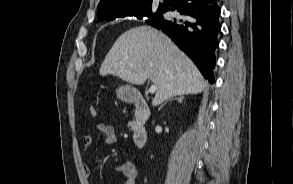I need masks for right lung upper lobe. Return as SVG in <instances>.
Segmentation results:
<instances>
[{
	"label": "right lung upper lobe",
	"instance_id": "1",
	"mask_svg": "<svg viewBox=\"0 0 293 184\" xmlns=\"http://www.w3.org/2000/svg\"><path fill=\"white\" fill-rule=\"evenodd\" d=\"M153 0H101L98 5V18L114 20L121 17H131L142 11L151 10ZM170 0H163L158 9L165 11Z\"/></svg>",
	"mask_w": 293,
	"mask_h": 184
}]
</instances>
